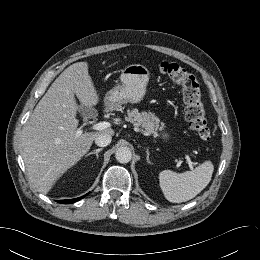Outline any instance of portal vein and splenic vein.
<instances>
[{
  "label": "portal vein and splenic vein",
  "mask_w": 260,
  "mask_h": 260,
  "mask_svg": "<svg viewBox=\"0 0 260 260\" xmlns=\"http://www.w3.org/2000/svg\"><path fill=\"white\" fill-rule=\"evenodd\" d=\"M109 127H110V123L103 121V122H99V123L94 124V125L92 126V129H93V130H99V131H101V130L107 129V128H109ZM78 133L81 134V133H82V130H78ZM187 161H188L189 167H190L191 169H193L194 163L191 162V160L189 159V157H187Z\"/></svg>",
  "instance_id": "portal-vein-and-splenic-vein-1"
}]
</instances>
